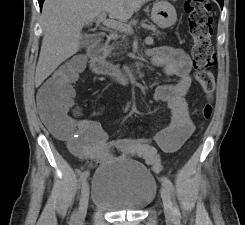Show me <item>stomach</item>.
Returning <instances> with one entry per match:
<instances>
[{
	"mask_svg": "<svg viewBox=\"0 0 245 225\" xmlns=\"http://www.w3.org/2000/svg\"><path fill=\"white\" fill-rule=\"evenodd\" d=\"M151 19L158 27L165 29L176 23L177 13L172 4L167 1H159L152 8Z\"/></svg>",
	"mask_w": 245,
	"mask_h": 225,
	"instance_id": "stomach-1",
	"label": "stomach"
}]
</instances>
